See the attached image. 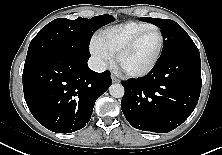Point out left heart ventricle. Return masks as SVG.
I'll list each match as a JSON object with an SVG mask.
<instances>
[{
  "label": "left heart ventricle",
  "instance_id": "obj_1",
  "mask_svg": "<svg viewBox=\"0 0 222 155\" xmlns=\"http://www.w3.org/2000/svg\"><path fill=\"white\" fill-rule=\"evenodd\" d=\"M160 45L158 31L146 33L128 52L119 60V67L123 71L134 72L147 68L154 60Z\"/></svg>",
  "mask_w": 222,
  "mask_h": 155
}]
</instances>
